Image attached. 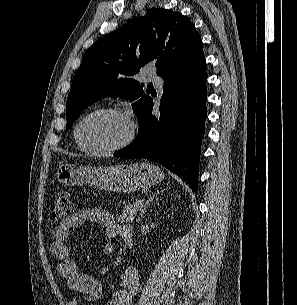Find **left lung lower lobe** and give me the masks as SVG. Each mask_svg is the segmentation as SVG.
Masks as SVG:
<instances>
[{"mask_svg":"<svg viewBox=\"0 0 297 305\" xmlns=\"http://www.w3.org/2000/svg\"><path fill=\"white\" fill-rule=\"evenodd\" d=\"M164 79L160 116L152 115L153 100L141 112L138 135L116 157L146 158L198 187L201 141L206 118V69L180 68ZM176 88L172 90V79Z\"/></svg>","mask_w":297,"mask_h":305,"instance_id":"0a47b994","label":"left lung lower lobe"}]
</instances>
